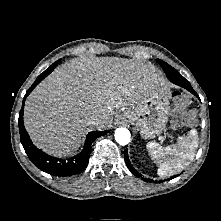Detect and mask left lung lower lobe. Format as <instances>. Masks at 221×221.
<instances>
[{"mask_svg":"<svg viewBox=\"0 0 221 221\" xmlns=\"http://www.w3.org/2000/svg\"><path fill=\"white\" fill-rule=\"evenodd\" d=\"M172 83L180 86V87H183L185 89H187L188 91H190L192 94H194L196 97L199 98V96L197 95V93L193 90L192 86L190 85V83L182 76L180 77L179 79H175L173 81H171ZM124 157H125V162H126V165L128 166L129 170L135 175V176H141L135 169L134 167L132 166V164L130 163L129 161V157H128V153H127V150L124 151ZM172 179V178H171ZM145 181H150L152 182V180H149V179H144Z\"/></svg>","mask_w":221,"mask_h":221,"instance_id":"obj_1","label":"left lung lower lobe"}]
</instances>
